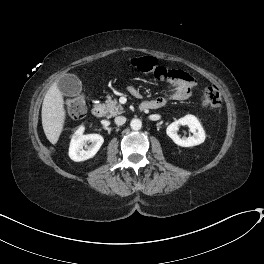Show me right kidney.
Instances as JSON below:
<instances>
[{"label":"right kidney","mask_w":264,"mask_h":264,"mask_svg":"<svg viewBox=\"0 0 264 264\" xmlns=\"http://www.w3.org/2000/svg\"><path fill=\"white\" fill-rule=\"evenodd\" d=\"M84 126H80L72 136L69 157L76 162L92 158L100 149L104 139L99 134L83 135ZM87 142H91L87 145ZM84 147V149H83Z\"/></svg>","instance_id":"right-kidney-1"}]
</instances>
